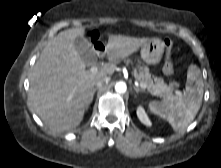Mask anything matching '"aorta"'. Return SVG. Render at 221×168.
Wrapping results in <instances>:
<instances>
[{
	"mask_svg": "<svg viewBox=\"0 0 221 168\" xmlns=\"http://www.w3.org/2000/svg\"><path fill=\"white\" fill-rule=\"evenodd\" d=\"M127 90V86L124 82H117L115 85V91L119 94L125 93Z\"/></svg>",
	"mask_w": 221,
	"mask_h": 168,
	"instance_id": "aorta-1",
	"label": "aorta"
}]
</instances>
